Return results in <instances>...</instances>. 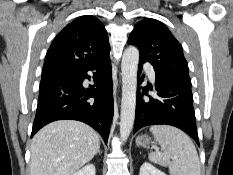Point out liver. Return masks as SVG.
<instances>
[{
  "instance_id": "obj_1",
  "label": "liver",
  "mask_w": 233,
  "mask_h": 175,
  "mask_svg": "<svg viewBox=\"0 0 233 175\" xmlns=\"http://www.w3.org/2000/svg\"><path fill=\"white\" fill-rule=\"evenodd\" d=\"M99 146L98 134L87 124L52 122L32 139L30 175H72L92 160Z\"/></svg>"
}]
</instances>
